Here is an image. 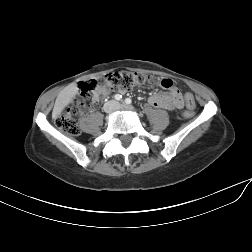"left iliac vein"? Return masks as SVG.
Returning <instances> with one entry per match:
<instances>
[{"label": "left iliac vein", "instance_id": "4c4485c4", "mask_svg": "<svg viewBox=\"0 0 252 252\" xmlns=\"http://www.w3.org/2000/svg\"><path fill=\"white\" fill-rule=\"evenodd\" d=\"M116 105H117V109H126L127 108L125 105L120 104V103H118Z\"/></svg>", "mask_w": 252, "mask_h": 252}]
</instances>
